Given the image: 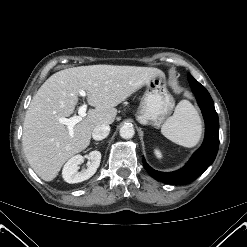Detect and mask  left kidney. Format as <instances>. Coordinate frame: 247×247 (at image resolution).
Masks as SVG:
<instances>
[{"mask_svg": "<svg viewBox=\"0 0 247 247\" xmlns=\"http://www.w3.org/2000/svg\"><path fill=\"white\" fill-rule=\"evenodd\" d=\"M155 154H156V156H157L158 158H161V153H160V151L155 150Z\"/></svg>", "mask_w": 247, "mask_h": 247, "instance_id": "left-kidney-1", "label": "left kidney"}]
</instances>
